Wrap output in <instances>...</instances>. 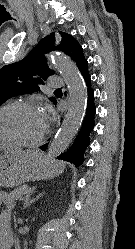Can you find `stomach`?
<instances>
[{
    "label": "stomach",
    "instance_id": "stomach-1",
    "mask_svg": "<svg viewBox=\"0 0 135 249\" xmlns=\"http://www.w3.org/2000/svg\"><path fill=\"white\" fill-rule=\"evenodd\" d=\"M62 163L46 164L38 150L0 148V186L15 187L44 177H53L62 172Z\"/></svg>",
    "mask_w": 135,
    "mask_h": 249
}]
</instances>
